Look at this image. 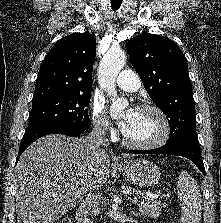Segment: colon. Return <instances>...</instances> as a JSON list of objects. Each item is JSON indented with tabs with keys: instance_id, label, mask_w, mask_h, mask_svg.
Instances as JSON below:
<instances>
[{
	"instance_id": "5ec220e1",
	"label": "colon",
	"mask_w": 221,
	"mask_h": 223,
	"mask_svg": "<svg viewBox=\"0 0 221 223\" xmlns=\"http://www.w3.org/2000/svg\"><path fill=\"white\" fill-rule=\"evenodd\" d=\"M58 223H71V222L67 219H64V220L59 221Z\"/></svg>"
}]
</instances>
